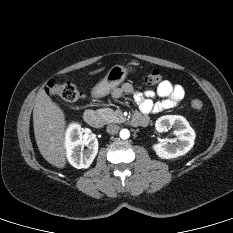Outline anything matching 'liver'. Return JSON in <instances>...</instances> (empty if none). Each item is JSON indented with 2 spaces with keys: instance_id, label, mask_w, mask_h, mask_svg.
<instances>
[{
  "instance_id": "obj_1",
  "label": "liver",
  "mask_w": 233,
  "mask_h": 233,
  "mask_svg": "<svg viewBox=\"0 0 233 233\" xmlns=\"http://www.w3.org/2000/svg\"><path fill=\"white\" fill-rule=\"evenodd\" d=\"M102 70L93 71L90 75ZM65 125L63 110L44 89H40L33 108L34 135L43 158L57 168L66 165Z\"/></svg>"
}]
</instances>
